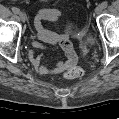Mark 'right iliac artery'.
Wrapping results in <instances>:
<instances>
[{
  "instance_id": "1",
  "label": "right iliac artery",
  "mask_w": 119,
  "mask_h": 119,
  "mask_svg": "<svg viewBox=\"0 0 119 119\" xmlns=\"http://www.w3.org/2000/svg\"><path fill=\"white\" fill-rule=\"evenodd\" d=\"M12 11H13L15 14H18V13H19V9L16 8V7H13V8H12Z\"/></svg>"
}]
</instances>
